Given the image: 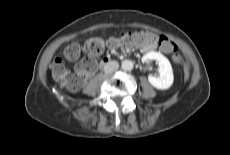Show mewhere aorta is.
Segmentation results:
<instances>
[{
    "label": "aorta",
    "mask_w": 230,
    "mask_h": 155,
    "mask_svg": "<svg viewBox=\"0 0 230 155\" xmlns=\"http://www.w3.org/2000/svg\"><path fill=\"white\" fill-rule=\"evenodd\" d=\"M134 67V63L131 60H125L122 62V69L125 71H131Z\"/></svg>",
    "instance_id": "762f6f07"
}]
</instances>
